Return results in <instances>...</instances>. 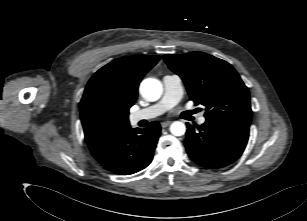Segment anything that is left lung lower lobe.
I'll use <instances>...</instances> for the list:
<instances>
[{
    "label": "left lung lower lobe",
    "instance_id": "0a47b994",
    "mask_svg": "<svg viewBox=\"0 0 307 221\" xmlns=\"http://www.w3.org/2000/svg\"><path fill=\"white\" fill-rule=\"evenodd\" d=\"M250 124L227 119L206 120L195 129L187 123L185 147L197 164L211 169L235 162L243 153Z\"/></svg>",
    "mask_w": 307,
    "mask_h": 221
}]
</instances>
